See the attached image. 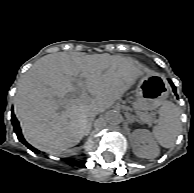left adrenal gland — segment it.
I'll return each instance as SVG.
<instances>
[{"instance_id":"obj_1","label":"left adrenal gland","mask_w":194,"mask_h":193,"mask_svg":"<svg viewBox=\"0 0 194 193\" xmlns=\"http://www.w3.org/2000/svg\"><path fill=\"white\" fill-rule=\"evenodd\" d=\"M130 117V119H129V123H132V122H134V118H132V116H129ZM136 121V120H135ZM138 122V121H137Z\"/></svg>"}]
</instances>
